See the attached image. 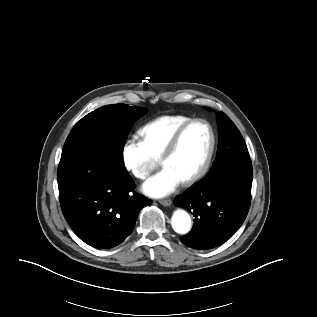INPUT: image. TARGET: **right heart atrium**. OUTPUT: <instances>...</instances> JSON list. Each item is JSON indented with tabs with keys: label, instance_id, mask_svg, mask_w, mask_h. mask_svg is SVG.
I'll return each instance as SVG.
<instances>
[{
	"label": "right heart atrium",
	"instance_id": "d8ad5b80",
	"mask_svg": "<svg viewBox=\"0 0 317 317\" xmlns=\"http://www.w3.org/2000/svg\"><path fill=\"white\" fill-rule=\"evenodd\" d=\"M121 159L124 168L139 180L146 179L158 164L144 142L136 137L128 139L122 146Z\"/></svg>",
	"mask_w": 317,
	"mask_h": 317
}]
</instances>
